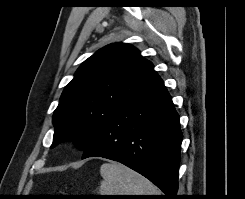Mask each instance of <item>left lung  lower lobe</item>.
Masks as SVG:
<instances>
[{"mask_svg": "<svg viewBox=\"0 0 245 199\" xmlns=\"http://www.w3.org/2000/svg\"><path fill=\"white\" fill-rule=\"evenodd\" d=\"M181 142L179 116L157 75L104 123L82 158L118 161L153 182L166 194L164 199H175Z\"/></svg>", "mask_w": 245, "mask_h": 199, "instance_id": "1", "label": "left lung lower lobe"}]
</instances>
